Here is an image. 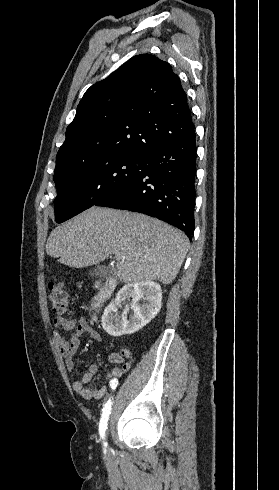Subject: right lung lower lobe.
<instances>
[{"label":"right lung lower lobe","mask_w":279,"mask_h":490,"mask_svg":"<svg viewBox=\"0 0 279 490\" xmlns=\"http://www.w3.org/2000/svg\"><path fill=\"white\" fill-rule=\"evenodd\" d=\"M196 151L194 132L147 157L146 169L139 177L95 205L156 217L182 230L192 240Z\"/></svg>","instance_id":"1"}]
</instances>
